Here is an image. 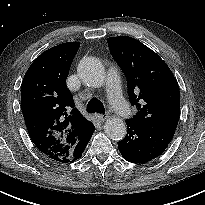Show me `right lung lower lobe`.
<instances>
[{"label":"right lung lower lobe","instance_id":"1","mask_svg":"<svg viewBox=\"0 0 205 205\" xmlns=\"http://www.w3.org/2000/svg\"><path fill=\"white\" fill-rule=\"evenodd\" d=\"M94 126L92 127V129L83 137L81 138L78 143L74 146L73 150H72V160L71 162H74L75 160L79 159L82 156V153L85 150V147L87 146L93 132H94ZM70 162V163H71Z\"/></svg>","mask_w":205,"mask_h":205}]
</instances>
